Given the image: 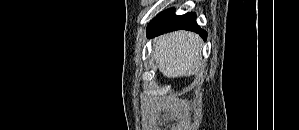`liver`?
Segmentation results:
<instances>
[{"mask_svg":"<svg viewBox=\"0 0 299 130\" xmlns=\"http://www.w3.org/2000/svg\"><path fill=\"white\" fill-rule=\"evenodd\" d=\"M201 39L192 32L176 31L155 40L153 57L168 78L188 76L201 65Z\"/></svg>","mask_w":299,"mask_h":130,"instance_id":"obj_1","label":"liver"}]
</instances>
